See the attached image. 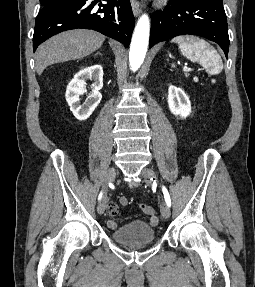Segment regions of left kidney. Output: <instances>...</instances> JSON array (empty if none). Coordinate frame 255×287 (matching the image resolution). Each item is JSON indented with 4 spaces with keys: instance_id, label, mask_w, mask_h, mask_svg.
Here are the masks:
<instances>
[{
    "instance_id": "left-kidney-1",
    "label": "left kidney",
    "mask_w": 255,
    "mask_h": 287,
    "mask_svg": "<svg viewBox=\"0 0 255 287\" xmlns=\"http://www.w3.org/2000/svg\"><path fill=\"white\" fill-rule=\"evenodd\" d=\"M168 106L170 112L175 116L187 118L191 114V102L188 96H186L184 90L176 88V86H169Z\"/></svg>"
}]
</instances>
